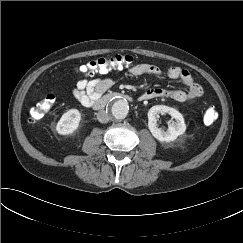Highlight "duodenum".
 Returning <instances> with one entry per match:
<instances>
[{"label":"duodenum","instance_id":"duodenum-1","mask_svg":"<svg viewBox=\"0 0 243 243\" xmlns=\"http://www.w3.org/2000/svg\"><path fill=\"white\" fill-rule=\"evenodd\" d=\"M117 99H126V100H132V98L126 94L120 93V92H111L106 95H104L101 98L96 99L92 107L96 110H101L105 108L110 102L117 100ZM140 100L141 97L139 98Z\"/></svg>","mask_w":243,"mask_h":243}]
</instances>
